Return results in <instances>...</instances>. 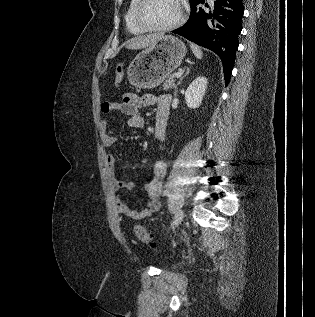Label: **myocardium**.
I'll list each match as a JSON object with an SVG mask.
<instances>
[{
  "instance_id": "f54148a6",
  "label": "myocardium",
  "mask_w": 315,
  "mask_h": 317,
  "mask_svg": "<svg viewBox=\"0 0 315 317\" xmlns=\"http://www.w3.org/2000/svg\"><path fill=\"white\" fill-rule=\"evenodd\" d=\"M148 0H138L135 10H134V20L136 25L141 28L144 31L149 32H166L171 31L173 29H176L177 27L181 26L186 18V8L183 4L182 0H178L179 6H180V14L178 18L172 22L171 24L165 25V26H153L145 23L142 19V9L144 5L147 3Z\"/></svg>"
}]
</instances>
